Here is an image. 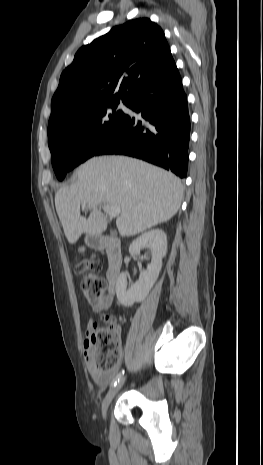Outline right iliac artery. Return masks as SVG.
<instances>
[{
  "label": "right iliac artery",
  "mask_w": 263,
  "mask_h": 465,
  "mask_svg": "<svg viewBox=\"0 0 263 465\" xmlns=\"http://www.w3.org/2000/svg\"><path fill=\"white\" fill-rule=\"evenodd\" d=\"M124 374V370H122L121 372H119L115 377L114 379L112 380L111 382V387L113 386H116V384L119 382L120 378L122 377V375Z\"/></svg>",
  "instance_id": "obj_1"
}]
</instances>
